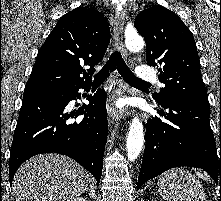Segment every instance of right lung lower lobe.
Masks as SVG:
<instances>
[{"label":"right lung lower lobe","mask_w":221,"mask_h":201,"mask_svg":"<svg viewBox=\"0 0 221 201\" xmlns=\"http://www.w3.org/2000/svg\"><path fill=\"white\" fill-rule=\"evenodd\" d=\"M89 87L90 83L56 89H25L10 151L11 184L24 161L37 154L53 152L76 160L99 183L108 131L105 91L100 89L89 96L90 103L83 108L68 110L69 102L81 97L78 90ZM82 114L86 116L81 121L72 120Z\"/></svg>","instance_id":"98d812e1"}]
</instances>
